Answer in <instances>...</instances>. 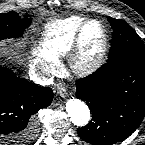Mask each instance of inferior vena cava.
Instances as JSON below:
<instances>
[{"label": "inferior vena cava", "instance_id": "inferior-vena-cava-1", "mask_svg": "<svg viewBox=\"0 0 145 145\" xmlns=\"http://www.w3.org/2000/svg\"><path fill=\"white\" fill-rule=\"evenodd\" d=\"M33 81L39 85H47L48 84V79L44 77L42 74L33 77Z\"/></svg>", "mask_w": 145, "mask_h": 145}]
</instances>
